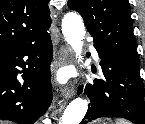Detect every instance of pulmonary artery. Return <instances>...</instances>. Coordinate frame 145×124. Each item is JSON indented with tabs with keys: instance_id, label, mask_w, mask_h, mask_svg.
Returning <instances> with one entry per match:
<instances>
[{
	"instance_id": "pulmonary-artery-1",
	"label": "pulmonary artery",
	"mask_w": 145,
	"mask_h": 124,
	"mask_svg": "<svg viewBox=\"0 0 145 124\" xmlns=\"http://www.w3.org/2000/svg\"><path fill=\"white\" fill-rule=\"evenodd\" d=\"M91 52H92V56H93V58L95 59V60H98V53H97V51L94 49V48H92L91 49Z\"/></svg>"
}]
</instances>
